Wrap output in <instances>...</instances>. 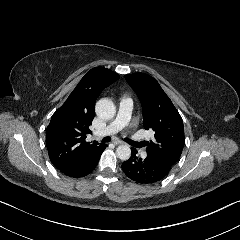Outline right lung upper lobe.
I'll return each instance as SVG.
<instances>
[{"label": "right lung upper lobe", "instance_id": "1", "mask_svg": "<svg viewBox=\"0 0 240 240\" xmlns=\"http://www.w3.org/2000/svg\"><path fill=\"white\" fill-rule=\"evenodd\" d=\"M119 79L107 68L91 69L78 83L65 103L54 113L46 131L49 158L55 167L77 165L105 144L86 142L95 116V102L104 88Z\"/></svg>", "mask_w": 240, "mask_h": 240}]
</instances>
